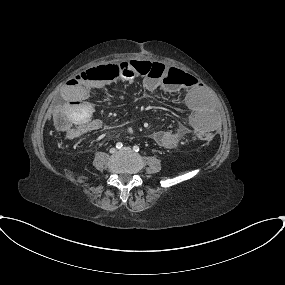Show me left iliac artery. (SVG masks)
<instances>
[{"mask_svg":"<svg viewBox=\"0 0 285 285\" xmlns=\"http://www.w3.org/2000/svg\"><path fill=\"white\" fill-rule=\"evenodd\" d=\"M133 150L135 151V152H138L140 149H139V147L138 146H133Z\"/></svg>","mask_w":285,"mask_h":285,"instance_id":"obj_1","label":"left iliac artery"}]
</instances>
